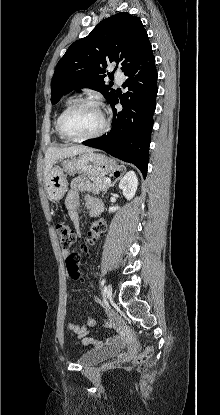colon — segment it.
Returning a JSON list of instances; mask_svg holds the SVG:
<instances>
[{"mask_svg": "<svg viewBox=\"0 0 220 415\" xmlns=\"http://www.w3.org/2000/svg\"><path fill=\"white\" fill-rule=\"evenodd\" d=\"M56 233L61 246L67 251L66 253V266L70 277L73 280H79L82 276L79 269V262L82 254L88 249L86 244H80L76 246V237L71 227L65 222H59L56 225ZM152 354V349L148 348L147 351L138 357V362L146 361Z\"/></svg>", "mask_w": 220, "mask_h": 415, "instance_id": "1", "label": "colon"}]
</instances>
